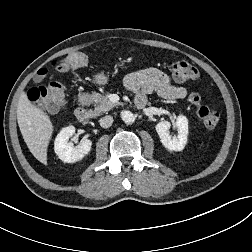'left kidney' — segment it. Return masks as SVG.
<instances>
[{
    "label": "left kidney",
    "instance_id": "left-kidney-1",
    "mask_svg": "<svg viewBox=\"0 0 252 252\" xmlns=\"http://www.w3.org/2000/svg\"><path fill=\"white\" fill-rule=\"evenodd\" d=\"M171 123L168 121L159 122L155 129L160 141L165 148L171 151H182L187 143L188 120L185 116L179 115L176 119L177 136L169 135Z\"/></svg>",
    "mask_w": 252,
    "mask_h": 252
}]
</instances>
